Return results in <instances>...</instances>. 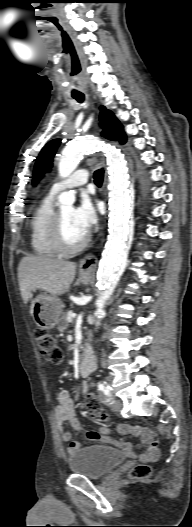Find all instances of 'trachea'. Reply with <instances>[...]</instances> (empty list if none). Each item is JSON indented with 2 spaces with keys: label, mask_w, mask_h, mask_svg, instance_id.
Returning a JSON list of instances; mask_svg holds the SVG:
<instances>
[{
  "label": "trachea",
  "mask_w": 192,
  "mask_h": 527,
  "mask_svg": "<svg viewBox=\"0 0 192 527\" xmlns=\"http://www.w3.org/2000/svg\"><path fill=\"white\" fill-rule=\"evenodd\" d=\"M73 98L76 99L78 102L82 103L84 102V95L83 94H75L73 95ZM94 180L97 185L102 184L103 180V171L102 170H96L94 173Z\"/></svg>",
  "instance_id": "obj_1"
}]
</instances>
